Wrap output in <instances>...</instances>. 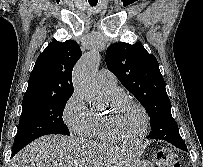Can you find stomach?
I'll use <instances>...</instances> for the list:
<instances>
[{
	"label": "stomach",
	"mask_w": 203,
	"mask_h": 167,
	"mask_svg": "<svg viewBox=\"0 0 203 167\" xmlns=\"http://www.w3.org/2000/svg\"><path fill=\"white\" fill-rule=\"evenodd\" d=\"M131 167H153V165L146 160H136Z\"/></svg>",
	"instance_id": "stomach-1"
}]
</instances>
